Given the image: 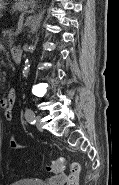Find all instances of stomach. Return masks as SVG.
Masks as SVG:
<instances>
[{
	"label": "stomach",
	"mask_w": 119,
	"mask_h": 185,
	"mask_svg": "<svg viewBox=\"0 0 119 185\" xmlns=\"http://www.w3.org/2000/svg\"><path fill=\"white\" fill-rule=\"evenodd\" d=\"M28 0H20V2L17 4V9L22 11L26 10L28 8Z\"/></svg>",
	"instance_id": "obj_1"
}]
</instances>
